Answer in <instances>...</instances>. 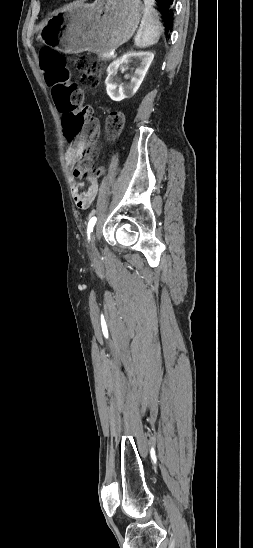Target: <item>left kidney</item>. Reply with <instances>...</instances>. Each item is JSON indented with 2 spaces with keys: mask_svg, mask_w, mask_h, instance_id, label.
<instances>
[{
  "mask_svg": "<svg viewBox=\"0 0 253 548\" xmlns=\"http://www.w3.org/2000/svg\"><path fill=\"white\" fill-rule=\"evenodd\" d=\"M154 54L152 52H130L113 61L107 68V78L105 80L108 96L113 101H121L132 97L139 89L152 61ZM134 62L137 65L131 80L127 84H121L116 77L119 67L123 64Z\"/></svg>",
  "mask_w": 253,
  "mask_h": 548,
  "instance_id": "1",
  "label": "left kidney"
}]
</instances>
